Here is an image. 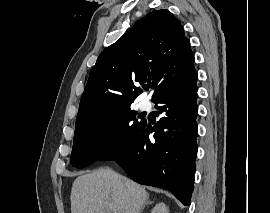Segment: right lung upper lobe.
Instances as JSON below:
<instances>
[{
	"mask_svg": "<svg viewBox=\"0 0 270 213\" xmlns=\"http://www.w3.org/2000/svg\"><path fill=\"white\" fill-rule=\"evenodd\" d=\"M194 56L180 21L167 10H153L111 46L92 67L76 123L131 104L152 81V100L183 78Z\"/></svg>",
	"mask_w": 270,
	"mask_h": 213,
	"instance_id": "obj_1",
	"label": "right lung upper lobe"
}]
</instances>
